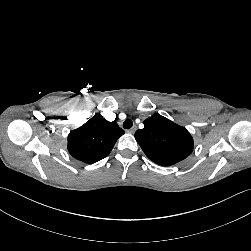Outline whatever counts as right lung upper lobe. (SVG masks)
<instances>
[{"instance_id":"1","label":"right lung upper lobe","mask_w":251,"mask_h":251,"mask_svg":"<svg viewBox=\"0 0 251 251\" xmlns=\"http://www.w3.org/2000/svg\"><path fill=\"white\" fill-rule=\"evenodd\" d=\"M124 134L118 124L95 114L68 135V151L85 163H95L109 155L117 139Z\"/></svg>"}]
</instances>
